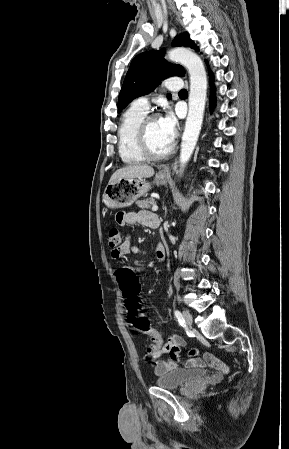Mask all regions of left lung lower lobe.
<instances>
[{"label":"left lung lower lobe","instance_id":"1","mask_svg":"<svg viewBox=\"0 0 289 449\" xmlns=\"http://www.w3.org/2000/svg\"><path fill=\"white\" fill-rule=\"evenodd\" d=\"M210 87H211V94H210V109L211 111L215 107V88L213 84V75L210 73Z\"/></svg>","mask_w":289,"mask_h":449}]
</instances>
